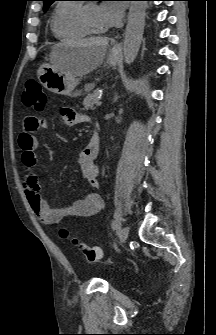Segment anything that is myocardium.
I'll list each match as a JSON object with an SVG mask.
<instances>
[{"mask_svg": "<svg viewBox=\"0 0 216 335\" xmlns=\"http://www.w3.org/2000/svg\"><path fill=\"white\" fill-rule=\"evenodd\" d=\"M86 7L87 5L85 6H82L81 10H80V21L83 25V27L88 31V33L90 34H103L104 33V30H97V29H94L92 27V25L90 24L89 20H88V17H87V13H86Z\"/></svg>", "mask_w": 216, "mask_h": 335, "instance_id": "myocardium-1", "label": "myocardium"}]
</instances>
